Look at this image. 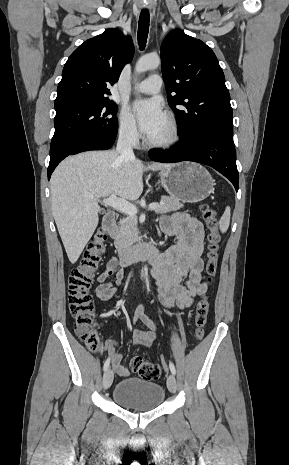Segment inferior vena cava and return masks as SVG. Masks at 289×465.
<instances>
[{"label":"inferior vena cava","mask_w":289,"mask_h":465,"mask_svg":"<svg viewBox=\"0 0 289 465\" xmlns=\"http://www.w3.org/2000/svg\"><path fill=\"white\" fill-rule=\"evenodd\" d=\"M136 138L135 129L130 128L119 134L116 152L127 158H135L133 153V142Z\"/></svg>","instance_id":"1"}]
</instances>
